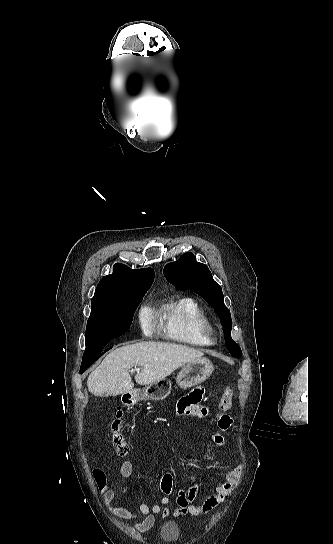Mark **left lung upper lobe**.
<instances>
[{
	"label": "left lung upper lobe",
	"mask_w": 333,
	"mask_h": 544,
	"mask_svg": "<svg viewBox=\"0 0 333 544\" xmlns=\"http://www.w3.org/2000/svg\"><path fill=\"white\" fill-rule=\"evenodd\" d=\"M166 279L178 289H191L213 306L220 316L230 354L236 358L242 355L240 347L231 338L232 320L229 309L224 305L221 287L213 280L205 264L196 262L192 253L183 254L177 262L164 268Z\"/></svg>",
	"instance_id": "1"
}]
</instances>
